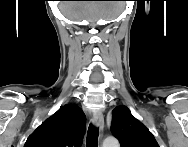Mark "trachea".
<instances>
[{
  "mask_svg": "<svg viewBox=\"0 0 188 147\" xmlns=\"http://www.w3.org/2000/svg\"><path fill=\"white\" fill-rule=\"evenodd\" d=\"M86 146L87 147H98V129L89 126L87 138H86Z\"/></svg>",
  "mask_w": 188,
  "mask_h": 147,
  "instance_id": "3493384b",
  "label": "trachea"
}]
</instances>
